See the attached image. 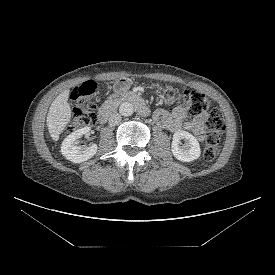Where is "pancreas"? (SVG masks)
<instances>
[{
	"label": "pancreas",
	"instance_id": "pancreas-1",
	"mask_svg": "<svg viewBox=\"0 0 275 275\" xmlns=\"http://www.w3.org/2000/svg\"><path fill=\"white\" fill-rule=\"evenodd\" d=\"M119 95L118 94H112L108 97L107 102H113L118 100Z\"/></svg>",
	"mask_w": 275,
	"mask_h": 275
}]
</instances>
